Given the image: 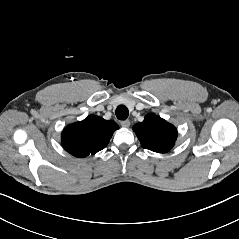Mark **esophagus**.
<instances>
[{
	"instance_id": "1",
	"label": "esophagus",
	"mask_w": 239,
	"mask_h": 239,
	"mask_svg": "<svg viewBox=\"0 0 239 239\" xmlns=\"http://www.w3.org/2000/svg\"><path fill=\"white\" fill-rule=\"evenodd\" d=\"M121 126L128 128L130 126V121L129 120L121 121Z\"/></svg>"
}]
</instances>
